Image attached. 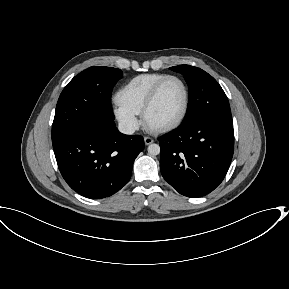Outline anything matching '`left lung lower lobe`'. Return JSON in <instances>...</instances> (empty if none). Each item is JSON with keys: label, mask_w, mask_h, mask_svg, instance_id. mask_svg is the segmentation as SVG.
<instances>
[{"label": "left lung lower lobe", "mask_w": 289, "mask_h": 289, "mask_svg": "<svg viewBox=\"0 0 289 289\" xmlns=\"http://www.w3.org/2000/svg\"><path fill=\"white\" fill-rule=\"evenodd\" d=\"M163 178L180 194L201 197L224 179L233 156L231 123L199 119L159 138Z\"/></svg>", "instance_id": "0a47b994"}]
</instances>
